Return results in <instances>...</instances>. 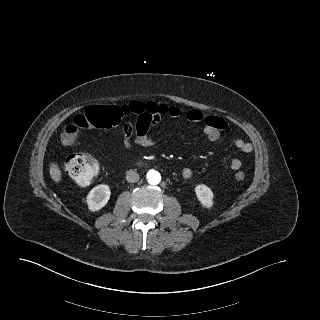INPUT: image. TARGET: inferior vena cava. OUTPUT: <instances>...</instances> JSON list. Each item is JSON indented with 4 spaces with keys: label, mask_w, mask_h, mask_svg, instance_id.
Wrapping results in <instances>:
<instances>
[{
    "label": "inferior vena cava",
    "mask_w": 320,
    "mask_h": 320,
    "mask_svg": "<svg viewBox=\"0 0 320 320\" xmlns=\"http://www.w3.org/2000/svg\"><path fill=\"white\" fill-rule=\"evenodd\" d=\"M126 180L129 183H135L139 180V174L134 170L127 171Z\"/></svg>",
    "instance_id": "602c4592"
}]
</instances>
